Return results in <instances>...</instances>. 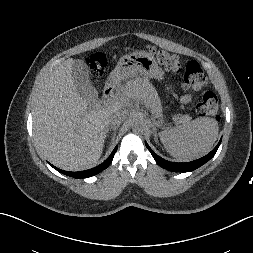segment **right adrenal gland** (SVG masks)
<instances>
[{
    "mask_svg": "<svg viewBox=\"0 0 253 253\" xmlns=\"http://www.w3.org/2000/svg\"><path fill=\"white\" fill-rule=\"evenodd\" d=\"M116 130H117V127H111V128H107V132L109 133V131H113V136H112V139L115 138L116 136Z\"/></svg>",
    "mask_w": 253,
    "mask_h": 253,
    "instance_id": "2a0ac1e0",
    "label": "right adrenal gland"
}]
</instances>
